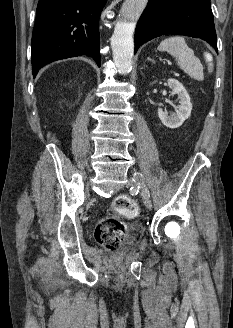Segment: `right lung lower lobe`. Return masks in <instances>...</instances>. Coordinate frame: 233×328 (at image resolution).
Returning a JSON list of instances; mask_svg holds the SVG:
<instances>
[{"mask_svg":"<svg viewBox=\"0 0 233 328\" xmlns=\"http://www.w3.org/2000/svg\"><path fill=\"white\" fill-rule=\"evenodd\" d=\"M106 0H39L32 35L33 77L44 65L86 55L100 66L98 21Z\"/></svg>","mask_w":233,"mask_h":328,"instance_id":"right-lung-lower-lobe-1","label":"right lung lower lobe"}]
</instances>
